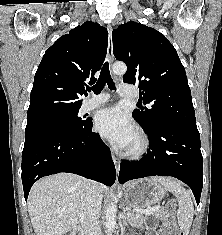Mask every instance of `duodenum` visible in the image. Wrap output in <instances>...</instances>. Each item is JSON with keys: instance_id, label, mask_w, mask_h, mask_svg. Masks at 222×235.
Here are the masks:
<instances>
[{"instance_id": "410a0bca", "label": "duodenum", "mask_w": 222, "mask_h": 235, "mask_svg": "<svg viewBox=\"0 0 222 235\" xmlns=\"http://www.w3.org/2000/svg\"><path fill=\"white\" fill-rule=\"evenodd\" d=\"M70 235H84L83 229L81 226H76Z\"/></svg>"}]
</instances>
